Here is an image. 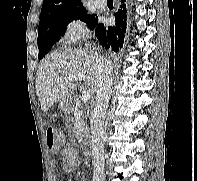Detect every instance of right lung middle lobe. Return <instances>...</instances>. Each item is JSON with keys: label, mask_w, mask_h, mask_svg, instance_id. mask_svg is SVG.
I'll list each match as a JSON object with an SVG mask.
<instances>
[{"label": "right lung middle lobe", "mask_w": 197, "mask_h": 181, "mask_svg": "<svg viewBox=\"0 0 197 181\" xmlns=\"http://www.w3.org/2000/svg\"><path fill=\"white\" fill-rule=\"evenodd\" d=\"M86 13L87 10L83 7L40 18L38 28V58L42 59L51 50L52 46L63 36L67 25L73 20L80 19L91 29H94L98 23V17L94 14L88 15Z\"/></svg>", "instance_id": "right-lung-middle-lobe-1"}]
</instances>
